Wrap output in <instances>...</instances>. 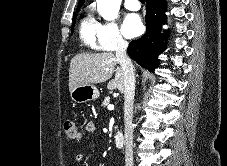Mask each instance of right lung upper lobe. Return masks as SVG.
Returning <instances> with one entry per match:
<instances>
[{"label":"right lung upper lobe","mask_w":227,"mask_h":166,"mask_svg":"<svg viewBox=\"0 0 227 166\" xmlns=\"http://www.w3.org/2000/svg\"><path fill=\"white\" fill-rule=\"evenodd\" d=\"M84 0H79V4L78 5H83Z\"/></svg>","instance_id":"cb5924a9"}]
</instances>
